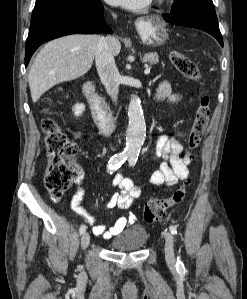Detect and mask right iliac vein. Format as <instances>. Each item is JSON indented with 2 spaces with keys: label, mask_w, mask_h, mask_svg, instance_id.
<instances>
[{
  "label": "right iliac vein",
  "mask_w": 247,
  "mask_h": 299,
  "mask_svg": "<svg viewBox=\"0 0 247 299\" xmlns=\"http://www.w3.org/2000/svg\"><path fill=\"white\" fill-rule=\"evenodd\" d=\"M90 243V235L88 232H84L81 237V246L83 249H86Z\"/></svg>",
  "instance_id": "63e3f726"
}]
</instances>
